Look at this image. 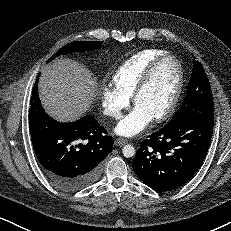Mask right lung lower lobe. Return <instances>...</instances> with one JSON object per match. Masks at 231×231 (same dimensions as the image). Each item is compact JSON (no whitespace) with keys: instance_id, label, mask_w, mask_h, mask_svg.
<instances>
[{"instance_id":"right-lung-lower-lobe-1","label":"right lung lower lobe","mask_w":231,"mask_h":231,"mask_svg":"<svg viewBox=\"0 0 231 231\" xmlns=\"http://www.w3.org/2000/svg\"><path fill=\"white\" fill-rule=\"evenodd\" d=\"M38 79L29 109L34 152L53 184L64 191H78L101 175L103 160L113 149V137L91 115L71 123H60L48 116L39 100Z\"/></svg>"}]
</instances>
